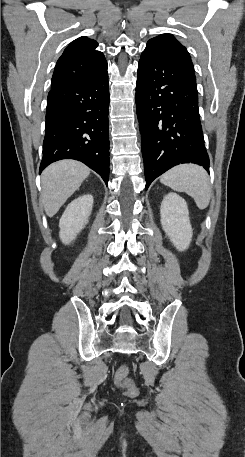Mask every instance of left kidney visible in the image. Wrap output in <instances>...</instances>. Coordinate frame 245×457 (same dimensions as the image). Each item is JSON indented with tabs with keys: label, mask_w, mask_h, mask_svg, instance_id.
Listing matches in <instances>:
<instances>
[{
	"label": "left kidney",
	"mask_w": 245,
	"mask_h": 457,
	"mask_svg": "<svg viewBox=\"0 0 245 457\" xmlns=\"http://www.w3.org/2000/svg\"><path fill=\"white\" fill-rule=\"evenodd\" d=\"M160 216L162 229L171 243L178 251H186L193 237L186 200L176 192H168L161 202Z\"/></svg>",
	"instance_id": "1"
}]
</instances>
